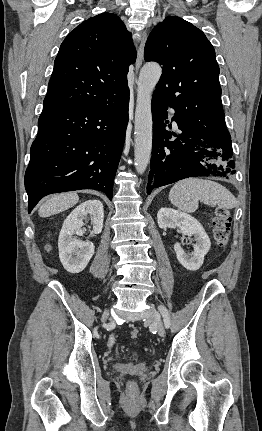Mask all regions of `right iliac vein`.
I'll list each match as a JSON object with an SVG mask.
<instances>
[{
	"instance_id": "right-iliac-vein-1",
	"label": "right iliac vein",
	"mask_w": 262,
	"mask_h": 431,
	"mask_svg": "<svg viewBox=\"0 0 262 431\" xmlns=\"http://www.w3.org/2000/svg\"><path fill=\"white\" fill-rule=\"evenodd\" d=\"M108 317H109V311H108V310H106V311L103 313V320H104V321H106V320L108 319Z\"/></svg>"
}]
</instances>
